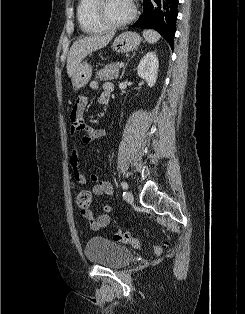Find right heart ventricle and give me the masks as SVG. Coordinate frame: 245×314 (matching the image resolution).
Returning <instances> with one entry per match:
<instances>
[{"instance_id": "right-heart-ventricle-1", "label": "right heart ventricle", "mask_w": 245, "mask_h": 314, "mask_svg": "<svg viewBox=\"0 0 245 314\" xmlns=\"http://www.w3.org/2000/svg\"><path fill=\"white\" fill-rule=\"evenodd\" d=\"M96 0H79L77 5V19L81 29L86 33H99L106 31L94 16V5Z\"/></svg>"}]
</instances>
